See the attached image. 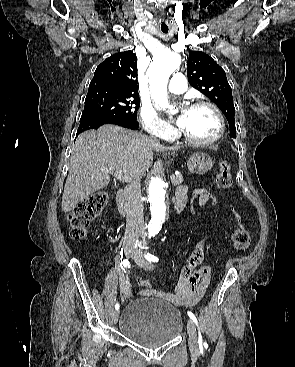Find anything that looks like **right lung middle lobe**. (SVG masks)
Instances as JSON below:
<instances>
[{
    "instance_id": "right-lung-middle-lobe-1",
    "label": "right lung middle lobe",
    "mask_w": 295,
    "mask_h": 367,
    "mask_svg": "<svg viewBox=\"0 0 295 367\" xmlns=\"http://www.w3.org/2000/svg\"><path fill=\"white\" fill-rule=\"evenodd\" d=\"M139 106L138 96L97 90L88 91L80 123L113 118L136 120Z\"/></svg>"
}]
</instances>
